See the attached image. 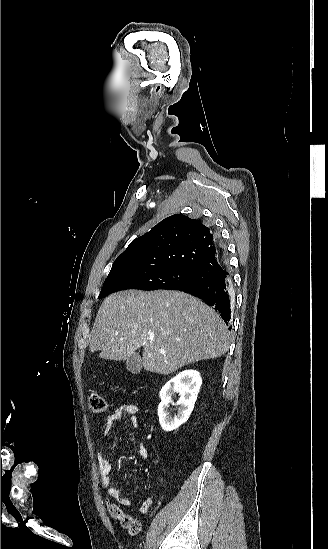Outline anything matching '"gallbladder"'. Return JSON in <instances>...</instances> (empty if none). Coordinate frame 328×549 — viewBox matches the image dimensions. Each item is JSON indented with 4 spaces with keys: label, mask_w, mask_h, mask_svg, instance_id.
I'll list each match as a JSON object with an SVG mask.
<instances>
[{
    "label": "gallbladder",
    "mask_w": 328,
    "mask_h": 549,
    "mask_svg": "<svg viewBox=\"0 0 328 549\" xmlns=\"http://www.w3.org/2000/svg\"><path fill=\"white\" fill-rule=\"evenodd\" d=\"M126 369L127 371H130V373H133V375H137V373H140L142 369V363L139 353H134L132 357H128V359H126Z\"/></svg>",
    "instance_id": "1"
}]
</instances>
